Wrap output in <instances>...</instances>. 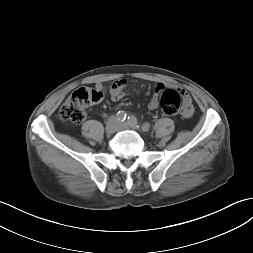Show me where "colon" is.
I'll return each instance as SVG.
<instances>
[{
    "label": "colon",
    "mask_w": 253,
    "mask_h": 253,
    "mask_svg": "<svg viewBox=\"0 0 253 253\" xmlns=\"http://www.w3.org/2000/svg\"><path fill=\"white\" fill-rule=\"evenodd\" d=\"M102 90L81 87L75 90L63 103L59 115L64 121L79 124L86 117V109L102 100ZM161 110L166 116H173L181 112V94L175 89H166L160 96Z\"/></svg>",
    "instance_id": "5ec220e1"
}]
</instances>
